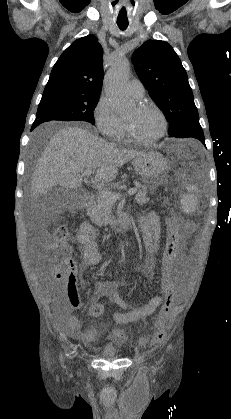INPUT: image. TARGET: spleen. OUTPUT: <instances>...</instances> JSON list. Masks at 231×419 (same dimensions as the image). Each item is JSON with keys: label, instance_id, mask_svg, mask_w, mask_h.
I'll use <instances>...</instances> for the list:
<instances>
[{"label": "spleen", "instance_id": "1", "mask_svg": "<svg viewBox=\"0 0 231 419\" xmlns=\"http://www.w3.org/2000/svg\"><path fill=\"white\" fill-rule=\"evenodd\" d=\"M188 194L183 196L181 200L182 209L185 213H192L197 205V198L194 196L193 192L196 190L195 186L187 187Z\"/></svg>", "mask_w": 231, "mask_h": 419}]
</instances>
